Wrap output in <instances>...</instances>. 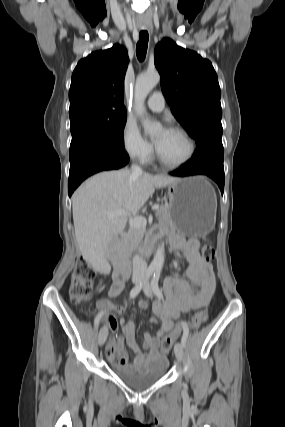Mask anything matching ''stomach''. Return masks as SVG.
Returning a JSON list of instances; mask_svg holds the SVG:
<instances>
[{
	"label": "stomach",
	"instance_id": "obj_1",
	"mask_svg": "<svg viewBox=\"0 0 285 427\" xmlns=\"http://www.w3.org/2000/svg\"><path fill=\"white\" fill-rule=\"evenodd\" d=\"M169 221L180 234L203 237L215 225L217 198L202 176L179 178L168 185Z\"/></svg>",
	"mask_w": 285,
	"mask_h": 427
}]
</instances>
